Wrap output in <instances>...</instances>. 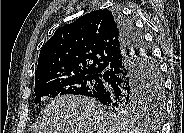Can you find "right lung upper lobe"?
Here are the masks:
<instances>
[{
	"label": "right lung upper lobe",
	"mask_w": 184,
	"mask_h": 133,
	"mask_svg": "<svg viewBox=\"0 0 184 133\" xmlns=\"http://www.w3.org/2000/svg\"><path fill=\"white\" fill-rule=\"evenodd\" d=\"M121 49L115 13L99 9L58 28L41 48L35 87L68 77L102 75Z\"/></svg>",
	"instance_id": "right-lung-upper-lobe-1"
}]
</instances>
